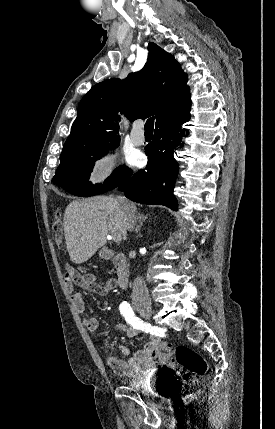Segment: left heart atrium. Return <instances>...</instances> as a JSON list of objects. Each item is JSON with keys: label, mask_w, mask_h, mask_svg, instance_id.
Segmentation results:
<instances>
[{"label": "left heart atrium", "mask_w": 275, "mask_h": 429, "mask_svg": "<svg viewBox=\"0 0 275 429\" xmlns=\"http://www.w3.org/2000/svg\"><path fill=\"white\" fill-rule=\"evenodd\" d=\"M141 160V157L139 155H134L133 157H131V161L133 163H139Z\"/></svg>", "instance_id": "left-heart-atrium-1"}]
</instances>
